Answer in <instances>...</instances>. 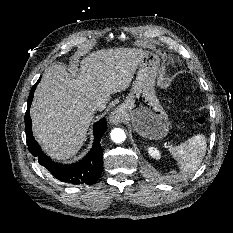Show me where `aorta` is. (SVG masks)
<instances>
[{"mask_svg": "<svg viewBox=\"0 0 233 233\" xmlns=\"http://www.w3.org/2000/svg\"><path fill=\"white\" fill-rule=\"evenodd\" d=\"M110 136H111V139L115 143H121V142L125 141V139H126V134H125L124 130H122L120 128L113 129L110 133Z\"/></svg>", "mask_w": 233, "mask_h": 233, "instance_id": "762f6f07", "label": "aorta"}]
</instances>
